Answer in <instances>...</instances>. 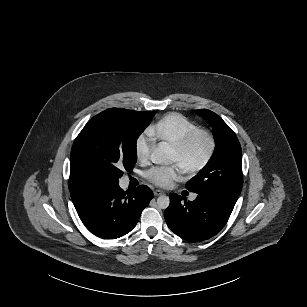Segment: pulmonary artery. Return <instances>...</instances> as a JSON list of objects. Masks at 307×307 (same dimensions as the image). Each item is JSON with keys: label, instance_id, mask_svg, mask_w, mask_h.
I'll return each mask as SVG.
<instances>
[{"label": "pulmonary artery", "instance_id": "pulmonary-artery-1", "mask_svg": "<svg viewBox=\"0 0 307 307\" xmlns=\"http://www.w3.org/2000/svg\"><path fill=\"white\" fill-rule=\"evenodd\" d=\"M196 197V195L194 194L193 196H192V199H194Z\"/></svg>", "mask_w": 307, "mask_h": 307}]
</instances>
